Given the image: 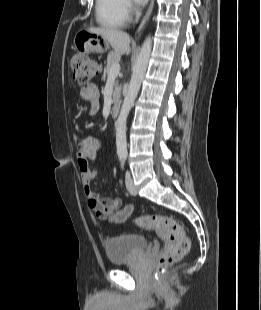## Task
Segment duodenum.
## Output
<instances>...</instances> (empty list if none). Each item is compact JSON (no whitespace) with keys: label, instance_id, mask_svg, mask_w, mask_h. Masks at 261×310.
Here are the masks:
<instances>
[{"label":"duodenum","instance_id":"duodenum-1","mask_svg":"<svg viewBox=\"0 0 261 310\" xmlns=\"http://www.w3.org/2000/svg\"><path fill=\"white\" fill-rule=\"evenodd\" d=\"M120 112V104L119 103H114L111 108V117L112 118H117Z\"/></svg>","mask_w":261,"mask_h":310}]
</instances>
